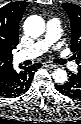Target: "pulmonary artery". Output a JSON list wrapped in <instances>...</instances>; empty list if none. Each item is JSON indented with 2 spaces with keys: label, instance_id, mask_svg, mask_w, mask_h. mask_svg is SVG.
Masks as SVG:
<instances>
[{
  "label": "pulmonary artery",
  "instance_id": "obj_1",
  "mask_svg": "<svg viewBox=\"0 0 81 124\" xmlns=\"http://www.w3.org/2000/svg\"><path fill=\"white\" fill-rule=\"evenodd\" d=\"M61 33L62 26L60 20L57 18L49 19L47 21L45 35L27 49L18 52L16 54V59L18 61H23L40 56L60 39ZM60 57L72 70L77 68V65L74 62H70L69 57L65 53H60Z\"/></svg>",
  "mask_w": 81,
  "mask_h": 124
}]
</instances>
